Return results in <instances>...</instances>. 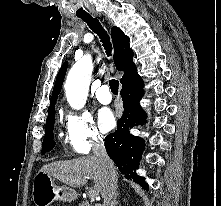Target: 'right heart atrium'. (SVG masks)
I'll return each instance as SVG.
<instances>
[{"label": "right heart atrium", "instance_id": "1", "mask_svg": "<svg viewBox=\"0 0 221 206\" xmlns=\"http://www.w3.org/2000/svg\"><path fill=\"white\" fill-rule=\"evenodd\" d=\"M67 139L70 148L80 154L88 153L103 141L101 133L87 112L68 115Z\"/></svg>", "mask_w": 221, "mask_h": 206}]
</instances>
